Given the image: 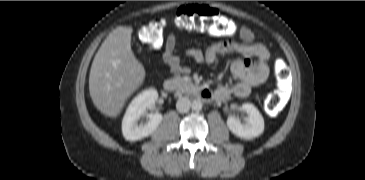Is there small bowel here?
I'll return each instance as SVG.
<instances>
[{"mask_svg": "<svg viewBox=\"0 0 365 180\" xmlns=\"http://www.w3.org/2000/svg\"><path fill=\"white\" fill-rule=\"evenodd\" d=\"M239 36L241 42H234L230 39L220 41L202 49L189 48L184 54L194 60L197 64L214 63L220 56L227 53H236L241 58H235L230 65L232 75L238 81L231 85H223L215 91V99L223 100L231 96L245 98L249 96L252 89L263 84L269 76L268 60L270 53L266 46L256 41L254 32L246 27H240ZM162 58L164 63L175 74L188 75L191 68L183 66L178 53L177 37L170 33L164 42Z\"/></svg>", "mask_w": 365, "mask_h": 180, "instance_id": "1", "label": "small bowel"}]
</instances>
